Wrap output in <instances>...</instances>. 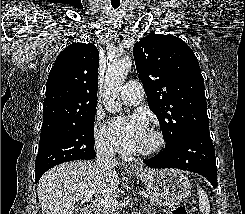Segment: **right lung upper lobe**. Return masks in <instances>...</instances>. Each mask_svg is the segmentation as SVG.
<instances>
[{"instance_id":"cb5924a9","label":"right lung upper lobe","mask_w":245,"mask_h":214,"mask_svg":"<svg viewBox=\"0 0 245 214\" xmlns=\"http://www.w3.org/2000/svg\"><path fill=\"white\" fill-rule=\"evenodd\" d=\"M98 66L91 43H73L58 55L47 80L41 134L75 124L96 109Z\"/></svg>"}]
</instances>
